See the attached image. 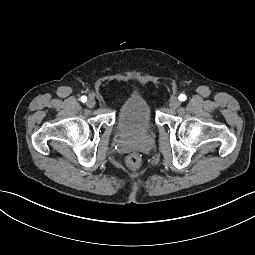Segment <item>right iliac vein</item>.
<instances>
[{"mask_svg": "<svg viewBox=\"0 0 255 255\" xmlns=\"http://www.w3.org/2000/svg\"><path fill=\"white\" fill-rule=\"evenodd\" d=\"M95 105H96L95 99H94V98H89V100L87 101V106H88L89 108H94Z\"/></svg>", "mask_w": 255, "mask_h": 255, "instance_id": "63e3f726", "label": "right iliac vein"}]
</instances>
